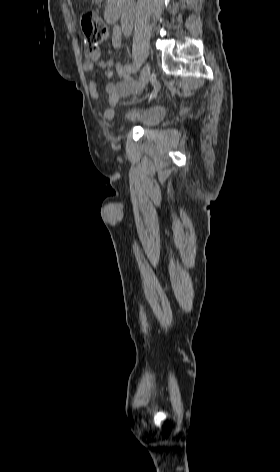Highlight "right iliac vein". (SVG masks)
Listing matches in <instances>:
<instances>
[{
	"label": "right iliac vein",
	"mask_w": 280,
	"mask_h": 472,
	"mask_svg": "<svg viewBox=\"0 0 280 472\" xmlns=\"http://www.w3.org/2000/svg\"><path fill=\"white\" fill-rule=\"evenodd\" d=\"M150 70H151L150 65L146 64L145 67L143 68L142 72H141L139 82H138V85H137V92L139 94L143 91V89L146 87V85L149 81Z\"/></svg>",
	"instance_id": "obj_1"
}]
</instances>
